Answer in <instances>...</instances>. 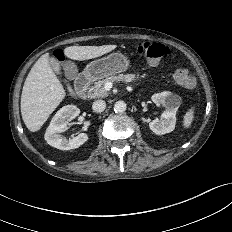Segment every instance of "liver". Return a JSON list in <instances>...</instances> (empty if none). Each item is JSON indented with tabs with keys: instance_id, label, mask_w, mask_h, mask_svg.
Segmentation results:
<instances>
[{
	"instance_id": "6515ba94",
	"label": "liver",
	"mask_w": 232,
	"mask_h": 232,
	"mask_svg": "<svg viewBox=\"0 0 232 232\" xmlns=\"http://www.w3.org/2000/svg\"><path fill=\"white\" fill-rule=\"evenodd\" d=\"M117 45L70 46L64 54L73 60H88L111 52ZM49 55H42L31 68L21 95V114L31 132L38 131L65 97V90L53 72Z\"/></svg>"
}]
</instances>
